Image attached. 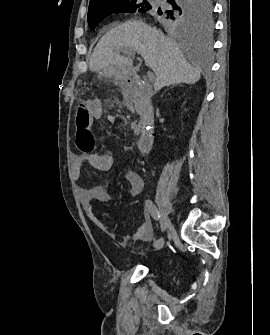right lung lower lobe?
I'll return each instance as SVG.
<instances>
[{
	"label": "right lung lower lobe",
	"instance_id": "obj_1",
	"mask_svg": "<svg viewBox=\"0 0 270 335\" xmlns=\"http://www.w3.org/2000/svg\"><path fill=\"white\" fill-rule=\"evenodd\" d=\"M165 4H168V3H167V0H166V2H165V3H163V5H165Z\"/></svg>",
	"mask_w": 270,
	"mask_h": 335
}]
</instances>
